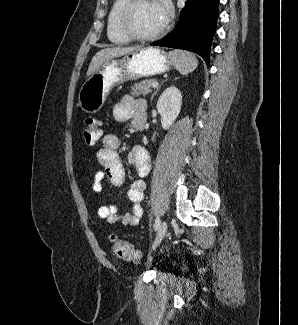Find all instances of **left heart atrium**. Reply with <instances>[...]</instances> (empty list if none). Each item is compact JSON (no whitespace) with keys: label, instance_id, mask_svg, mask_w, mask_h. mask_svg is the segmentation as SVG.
<instances>
[{"label":"left heart atrium","instance_id":"39dd6f15","mask_svg":"<svg viewBox=\"0 0 298 325\" xmlns=\"http://www.w3.org/2000/svg\"><path fill=\"white\" fill-rule=\"evenodd\" d=\"M163 11H164V19H165V23H166L168 20V17H169L170 10L168 7H164Z\"/></svg>","mask_w":298,"mask_h":325}]
</instances>
